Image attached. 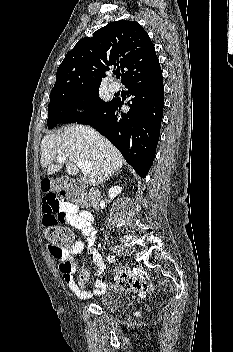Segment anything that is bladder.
Listing matches in <instances>:
<instances>
[{"label": "bladder", "mask_w": 233, "mask_h": 352, "mask_svg": "<svg viewBox=\"0 0 233 352\" xmlns=\"http://www.w3.org/2000/svg\"><path fill=\"white\" fill-rule=\"evenodd\" d=\"M123 296L116 288L106 289L99 297V304L108 311H116L123 303Z\"/></svg>", "instance_id": "1"}]
</instances>
